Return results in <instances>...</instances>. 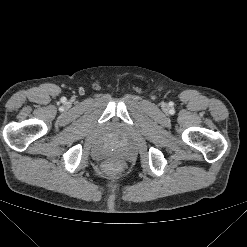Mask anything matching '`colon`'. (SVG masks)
I'll use <instances>...</instances> for the list:
<instances>
[{
    "label": "colon",
    "instance_id": "obj_1",
    "mask_svg": "<svg viewBox=\"0 0 247 247\" xmlns=\"http://www.w3.org/2000/svg\"><path fill=\"white\" fill-rule=\"evenodd\" d=\"M120 168V164L117 161H108L104 164V169L107 172L114 173L118 171Z\"/></svg>",
    "mask_w": 247,
    "mask_h": 247
}]
</instances>
